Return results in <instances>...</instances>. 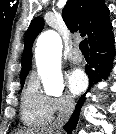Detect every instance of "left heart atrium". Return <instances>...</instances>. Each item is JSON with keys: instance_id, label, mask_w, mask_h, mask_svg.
<instances>
[{"instance_id": "1", "label": "left heart atrium", "mask_w": 116, "mask_h": 134, "mask_svg": "<svg viewBox=\"0 0 116 134\" xmlns=\"http://www.w3.org/2000/svg\"><path fill=\"white\" fill-rule=\"evenodd\" d=\"M67 85L72 94H79L87 85V78L80 69H74L67 75Z\"/></svg>"}]
</instances>
